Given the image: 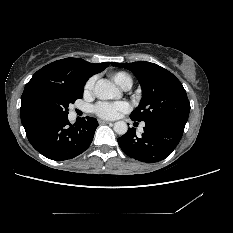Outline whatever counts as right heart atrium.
Instances as JSON below:
<instances>
[{
	"mask_svg": "<svg viewBox=\"0 0 233 233\" xmlns=\"http://www.w3.org/2000/svg\"><path fill=\"white\" fill-rule=\"evenodd\" d=\"M96 78L91 77L87 80L84 86V93L86 95H91L94 91V86H95Z\"/></svg>",
	"mask_w": 233,
	"mask_h": 233,
	"instance_id": "obj_1",
	"label": "right heart atrium"
}]
</instances>
